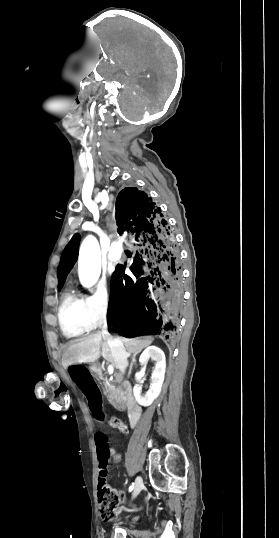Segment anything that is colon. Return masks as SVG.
<instances>
[{
	"label": "colon",
	"mask_w": 279,
	"mask_h": 538,
	"mask_svg": "<svg viewBox=\"0 0 279 538\" xmlns=\"http://www.w3.org/2000/svg\"><path fill=\"white\" fill-rule=\"evenodd\" d=\"M112 424L122 431L127 430V426L121 421L114 420ZM94 439L99 461V510L101 517L105 521H110L115 517L120 502L119 494L107 482V466L111 456V448L108 437L104 433L97 432Z\"/></svg>",
	"instance_id": "obj_1"
}]
</instances>
